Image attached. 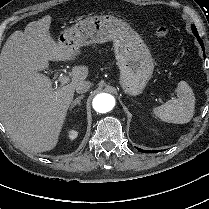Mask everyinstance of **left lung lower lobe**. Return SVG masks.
Listing matches in <instances>:
<instances>
[{
	"instance_id": "1",
	"label": "left lung lower lobe",
	"mask_w": 209,
	"mask_h": 209,
	"mask_svg": "<svg viewBox=\"0 0 209 209\" xmlns=\"http://www.w3.org/2000/svg\"><path fill=\"white\" fill-rule=\"evenodd\" d=\"M192 31H193V34L197 37L198 42H199V44L201 45L203 52L205 53L204 44H203L202 39L199 37V34H198V32H197V29L194 27V28H192ZM204 56H205V55H204ZM137 150L140 151V152H144V153H156V152H160V151H161V150L148 151V150H143V149H140V148H137Z\"/></svg>"
}]
</instances>
